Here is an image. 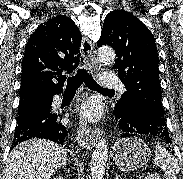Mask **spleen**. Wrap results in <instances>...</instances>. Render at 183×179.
I'll list each match as a JSON object with an SVG mask.
<instances>
[{"label":"spleen","mask_w":183,"mask_h":179,"mask_svg":"<svg viewBox=\"0 0 183 179\" xmlns=\"http://www.w3.org/2000/svg\"><path fill=\"white\" fill-rule=\"evenodd\" d=\"M153 163L164 171L165 179H177L180 171L178 160L161 145L155 146Z\"/></svg>","instance_id":"3e777b00"}]
</instances>
